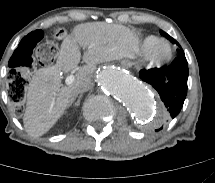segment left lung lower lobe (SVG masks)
I'll list each match as a JSON object with an SVG mask.
<instances>
[{"label": "left lung lower lobe", "instance_id": "obj_1", "mask_svg": "<svg viewBox=\"0 0 215 183\" xmlns=\"http://www.w3.org/2000/svg\"><path fill=\"white\" fill-rule=\"evenodd\" d=\"M139 76L159 93L167 116L176 117L187 95L188 63L185 55H178L169 66L143 69Z\"/></svg>", "mask_w": 215, "mask_h": 183}]
</instances>
